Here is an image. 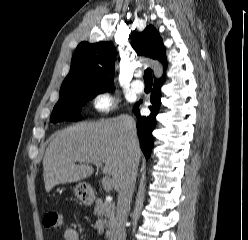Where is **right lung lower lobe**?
I'll use <instances>...</instances> for the list:
<instances>
[{"label": "right lung lower lobe", "instance_id": "98d812e1", "mask_svg": "<svg viewBox=\"0 0 248 240\" xmlns=\"http://www.w3.org/2000/svg\"><path fill=\"white\" fill-rule=\"evenodd\" d=\"M165 81V75L160 79L155 80L153 90L151 92V103L149 106L151 114L148 117L141 116L138 105L134 107V113L137 117V131L140 140V147L146 158H149L150 152L154 146V138L152 136V131L156 126V116L160 110V100H161V87Z\"/></svg>", "mask_w": 248, "mask_h": 240}]
</instances>
